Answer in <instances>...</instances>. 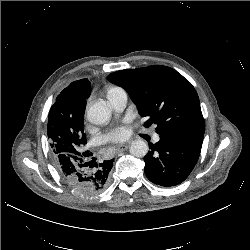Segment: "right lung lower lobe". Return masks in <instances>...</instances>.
Instances as JSON below:
<instances>
[{"mask_svg":"<svg viewBox=\"0 0 250 250\" xmlns=\"http://www.w3.org/2000/svg\"><path fill=\"white\" fill-rule=\"evenodd\" d=\"M58 155L55 165L62 178L77 192L84 196H92L101 192L109 182V172L113 167V159L101 163L86 162V156ZM91 168V169H90Z\"/></svg>","mask_w":250,"mask_h":250,"instance_id":"right-lung-lower-lobe-1","label":"right lung lower lobe"}]
</instances>
